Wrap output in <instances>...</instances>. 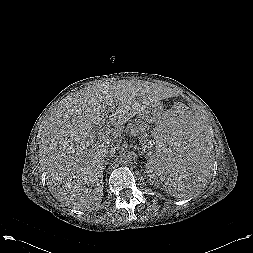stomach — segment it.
<instances>
[{
    "instance_id": "0dacf381",
    "label": "stomach",
    "mask_w": 253,
    "mask_h": 253,
    "mask_svg": "<svg viewBox=\"0 0 253 253\" xmlns=\"http://www.w3.org/2000/svg\"><path fill=\"white\" fill-rule=\"evenodd\" d=\"M161 115V111L154 105L148 106L139 113V117L148 123H152Z\"/></svg>"
}]
</instances>
